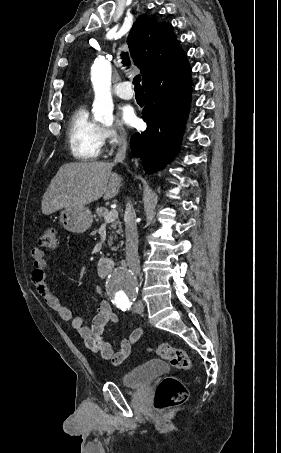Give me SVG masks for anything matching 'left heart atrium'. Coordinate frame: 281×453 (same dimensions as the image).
<instances>
[{
    "instance_id": "1",
    "label": "left heart atrium",
    "mask_w": 281,
    "mask_h": 453,
    "mask_svg": "<svg viewBox=\"0 0 281 453\" xmlns=\"http://www.w3.org/2000/svg\"><path fill=\"white\" fill-rule=\"evenodd\" d=\"M119 119L127 126H135L137 123V114L135 109L130 105L123 106L119 111Z\"/></svg>"
}]
</instances>
